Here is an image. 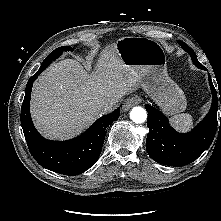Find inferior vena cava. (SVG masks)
Wrapping results in <instances>:
<instances>
[{"instance_id":"1","label":"inferior vena cava","mask_w":221,"mask_h":221,"mask_svg":"<svg viewBox=\"0 0 221 221\" xmlns=\"http://www.w3.org/2000/svg\"><path fill=\"white\" fill-rule=\"evenodd\" d=\"M119 99H107L101 102L100 107L102 110L107 112H112L118 107Z\"/></svg>"}]
</instances>
